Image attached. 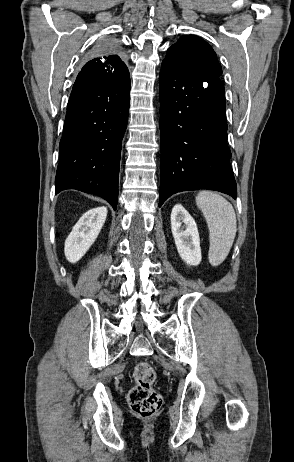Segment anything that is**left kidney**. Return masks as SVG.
Masks as SVG:
<instances>
[{
  "label": "left kidney",
  "mask_w": 294,
  "mask_h": 462,
  "mask_svg": "<svg viewBox=\"0 0 294 462\" xmlns=\"http://www.w3.org/2000/svg\"><path fill=\"white\" fill-rule=\"evenodd\" d=\"M171 230L181 259L187 265H199L202 256L197 225L180 204H176L172 209Z\"/></svg>",
  "instance_id": "5707ae66"
}]
</instances>
